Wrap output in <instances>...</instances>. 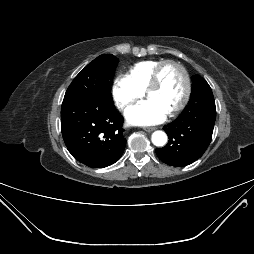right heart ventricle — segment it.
<instances>
[{"label": "right heart ventricle", "instance_id": "right-heart-ventricle-1", "mask_svg": "<svg viewBox=\"0 0 254 254\" xmlns=\"http://www.w3.org/2000/svg\"><path fill=\"white\" fill-rule=\"evenodd\" d=\"M162 61L163 60L140 61L129 68L127 76L137 88L144 92L152 79L155 69Z\"/></svg>", "mask_w": 254, "mask_h": 254}]
</instances>
